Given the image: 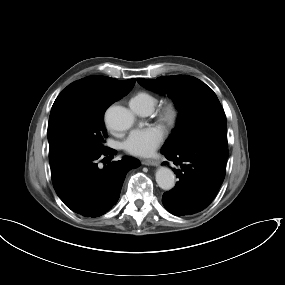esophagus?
<instances>
[{"label":"esophagus","mask_w":285,"mask_h":285,"mask_svg":"<svg viewBox=\"0 0 285 285\" xmlns=\"http://www.w3.org/2000/svg\"><path fill=\"white\" fill-rule=\"evenodd\" d=\"M142 164L146 165V166H158L159 165V162L156 161V160H153V159H145V160H142Z\"/></svg>","instance_id":"esophagus-1"}]
</instances>
